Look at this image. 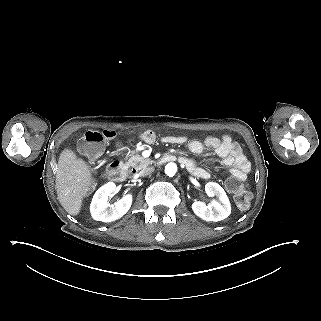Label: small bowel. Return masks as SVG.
Masks as SVG:
<instances>
[{
    "label": "small bowel",
    "instance_id": "obj_1",
    "mask_svg": "<svg viewBox=\"0 0 321 321\" xmlns=\"http://www.w3.org/2000/svg\"><path fill=\"white\" fill-rule=\"evenodd\" d=\"M140 138L151 143L155 140V134L152 131H145ZM163 142L169 144H186V147L193 154H202L206 149H212L215 155L220 158L221 163L231 169V177L245 180L250 171L251 164L242 152L241 147L230 136L224 135L221 138L207 137L203 142L198 140L187 141L183 136H166ZM183 164L196 177L208 179L209 171L199 166L194 160L183 157Z\"/></svg>",
    "mask_w": 321,
    "mask_h": 321
}]
</instances>
